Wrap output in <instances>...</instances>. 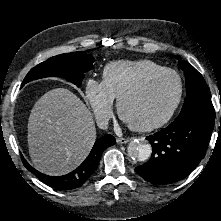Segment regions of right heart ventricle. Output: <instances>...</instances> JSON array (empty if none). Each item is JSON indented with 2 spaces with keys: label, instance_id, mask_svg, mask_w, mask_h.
<instances>
[{
  "label": "right heart ventricle",
  "instance_id": "1",
  "mask_svg": "<svg viewBox=\"0 0 221 221\" xmlns=\"http://www.w3.org/2000/svg\"><path fill=\"white\" fill-rule=\"evenodd\" d=\"M165 67L147 59L121 60L107 64L103 69V82L116 99L146 75Z\"/></svg>",
  "mask_w": 221,
  "mask_h": 221
}]
</instances>
